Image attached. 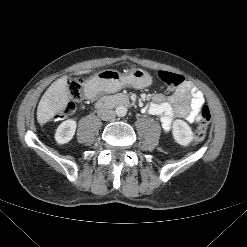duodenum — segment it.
Listing matches in <instances>:
<instances>
[{
	"label": "duodenum",
	"instance_id": "410a0bca",
	"mask_svg": "<svg viewBox=\"0 0 247 247\" xmlns=\"http://www.w3.org/2000/svg\"><path fill=\"white\" fill-rule=\"evenodd\" d=\"M96 105L102 109H108L118 106H130L131 102L129 97L124 94H115L104 96L97 100Z\"/></svg>",
	"mask_w": 247,
	"mask_h": 247
}]
</instances>
